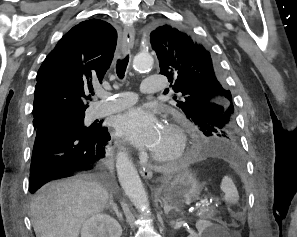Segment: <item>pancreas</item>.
<instances>
[{"instance_id":"cf45deb5","label":"pancreas","mask_w":297,"mask_h":237,"mask_svg":"<svg viewBox=\"0 0 297 237\" xmlns=\"http://www.w3.org/2000/svg\"><path fill=\"white\" fill-rule=\"evenodd\" d=\"M217 214V211L211 207H203L198 211L197 216L206 219H214V216Z\"/></svg>"}]
</instances>
